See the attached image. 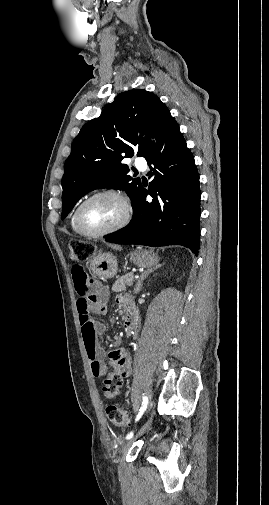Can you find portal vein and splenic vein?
Returning <instances> with one entry per match:
<instances>
[{"mask_svg": "<svg viewBox=\"0 0 269 505\" xmlns=\"http://www.w3.org/2000/svg\"><path fill=\"white\" fill-rule=\"evenodd\" d=\"M136 279H138L139 277L138 276H135Z\"/></svg>", "mask_w": 269, "mask_h": 505, "instance_id": "1", "label": "portal vein and splenic vein"}]
</instances>
